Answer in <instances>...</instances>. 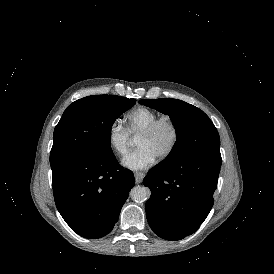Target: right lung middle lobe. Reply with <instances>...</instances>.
Segmentation results:
<instances>
[{
    "mask_svg": "<svg viewBox=\"0 0 274 274\" xmlns=\"http://www.w3.org/2000/svg\"><path fill=\"white\" fill-rule=\"evenodd\" d=\"M135 101L114 95H95L73 102L55 127L50 164L73 157L113 154L110 146L112 125Z\"/></svg>",
    "mask_w": 274,
    "mask_h": 274,
    "instance_id": "right-lung-middle-lobe-1",
    "label": "right lung middle lobe"
}]
</instances>
